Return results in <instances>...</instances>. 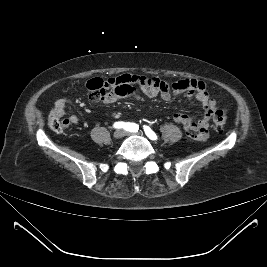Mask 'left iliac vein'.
Here are the masks:
<instances>
[{
  "label": "left iliac vein",
  "mask_w": 267,
  "mask_h": 267,
  "mask_svg": "<svg viewBox=\"0 0 267 267\" xmlns=\"http://www.w3.org/2000/svg\"><path fill=\"white\" fill-rule=\"evenodd\" d=\"M125 135H128V136H130V135H141V133L140 132H136V133L125 132Z\"/></svg>",
  "instance_id": "obj_1"
}]
</instances>
